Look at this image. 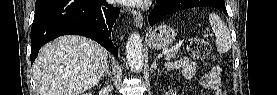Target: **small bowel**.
I'll return each mask as SVG.
<instances>
[{
  "mask_svg": "<svg viewBox=\"0 0 277 95\" xmlns=\"http://www.w3.org/2000/svg\"><path fill=\"white\" fill-rule=\"evenodd\" d=\"M172 66L181 68L182 76L185 78H192L196 75L198 70V65L194 60L183 58L176 60L172 63ZM203 83L205 86L212 88L214 95H225L221 84L219 81H214L212 79L211 73H206L202 76ZM168 95H175V91L167 92Z\"/></svg>",
  "mask_w": 277,
  "mask_h": 95,
  "instance_id": "obj_1",
  "label": "small bowel"
}]
</instances>
